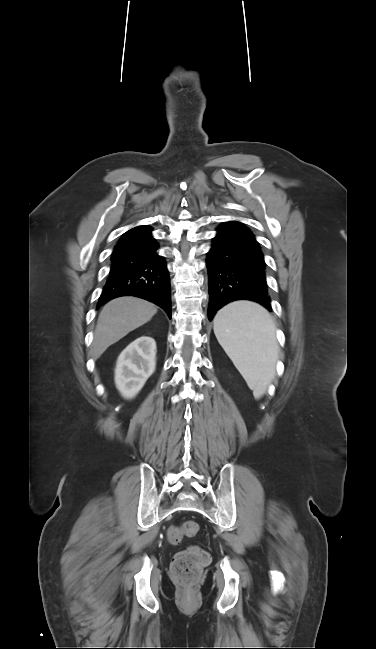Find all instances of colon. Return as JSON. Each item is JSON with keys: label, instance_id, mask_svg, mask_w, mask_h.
<instances>
[{"label": "colon", "instance_id": "colon-1", "mask_svg": "<svg viewBox=\"0 0 376 649\" xmlns=\"http://www.w3.org/2000/svg\"><path fill=\"white\" fill-rule=\"evenodd\" d=\"M200 526L196 521L187 520L179 526L168 530V540L177 544L183 537H193L198 534ZM210 556L207 551L197 546H190L178 552L171 563V575L181 585L191 587L201 577L203 569L209 564Z\"/></svg>", "mask_w": 376, "mask_h": 649}]
</instances>
